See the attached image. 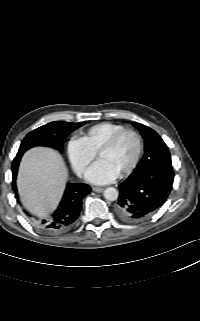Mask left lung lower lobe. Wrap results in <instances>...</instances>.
Returning a JSON list of instances; mask_svg holds the SVG:
<instances>
[{
  "label": "left lung lower lobe",
  "mask_w": 200,
  "mask_h": 321,
  "mask_svg": "<svg viewBox=\"0 0 200 321\" xmlns=\"http://www.w3.org/2000/svg\"><path fill=\"white\" fill-rule=\"evenodd\" d=\"M173 180L174 172L171 166L136 168L119 184L116 214L127 223L145 220L165 203L171 192Z\"/></svg>",
  "instance_id": "obj_1"
}]
</instances>
